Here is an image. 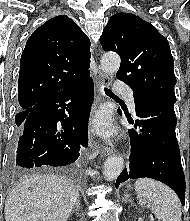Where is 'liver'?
<instances>
[{"label": "liver", "instance_id": "6515ba94", "mask_svg": "<svg viewBox=\"0 0 190 221\" xmlns=\"http://www.w3.org/2000/svg\"><path fill=\"white\" fill-rule=\"evenodd\" d=\"M79 196L74 183L62 176L24 177L5 202L6 221H66Z\"/></svg>", "mask_w": 190, "mask_h": 221}]
</instances>
